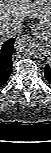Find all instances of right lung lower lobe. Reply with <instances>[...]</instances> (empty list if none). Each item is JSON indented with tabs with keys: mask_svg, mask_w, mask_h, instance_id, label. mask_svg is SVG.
Segmentation results:
<instances>
[{
	"mask_svg": "<svg viewBox=\"0 0 51 153\" xmlns=\"http://www.w3.org/2000/svg\"><path fill=\"white\" fill-rule=\"evenodd\" d=\"M14 38L9 39L3 45L0 42V87L4 85L12 71V52Z\"/></svg>",
	"mask_w": 51,
	"mask_h": 153,
	"instance_id": "obj_1",
	"label": "right lung lower lobe"
}]
</instances>
